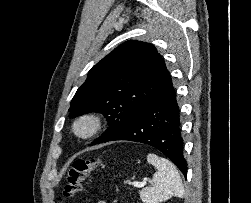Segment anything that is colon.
<instances>
[{"mask_svg": "<svg viewBox=\"0 0 251 203\" xmlns=\"http://www.w3.org/2000/svg\"><path fill=\"white\" fill-rule=\"evenodd\" d=\"M102 165V161L98 158L75 160L67 171L62 197L72 198L76 196L81 191L82 182L86 176Z\"/></svg>", "mask_w": 251, "mask_h": 203, "instance_id": "obj_1", "label": "colon"}]
</instances>
